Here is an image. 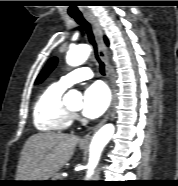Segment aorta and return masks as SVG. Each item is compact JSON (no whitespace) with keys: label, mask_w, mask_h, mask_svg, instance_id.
<instances>
[{"label":"aorta","mask_w":178,"mask_h":186,"mask_svg":"<svg viewBox=\"0 0 178 186\" xmlns=\"http://www.w3.org/2000/svg\"><path fill=\"white\" fill-rule=\"evenodd\" d=\"M90 52L91 48L89 45L82 44L75 46L67 52L66 62L68 65L73 67L79 66L87 60ZM65 99L71 102L80 103L81 95L77 90L72 89L66 94ZM114 131L115 127L113 124H106L94 135L89 148V162L87 165L86 179L92 177L94 169L99 162L101 153L114 134Z\"/></svg>","instance_id":"aorta-1"}]
</instances>
